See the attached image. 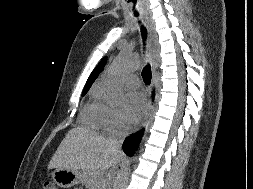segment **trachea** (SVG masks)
I'll return each instance as SVG.
<instances>
[{
    "instance_id": "1",
    "label": "trachea",
    "mask_w": 253,
    "mask_h": 189,
    "mask_svg": "<svg viewBox=\"0 0 253 189\" xmlns=\"http://www.w3.org/2000/svg\"><path fill=\"white\" fill-rule=\"evenodd\" d=\"M141 35L143 41H146L147 38V31L145 27H141ZM142 78L146 85H150L151 83V66L147 64L142 70Z\"/></svg>"
}]
</instances>
